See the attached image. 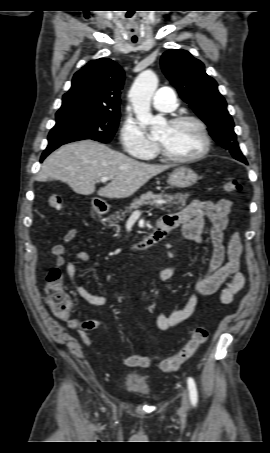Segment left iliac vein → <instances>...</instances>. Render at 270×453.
I'll return each mask as SVG.
<instances>
[{"label":"left iliac vein","instance_id":"left-iliac-vein-1","mask_svg":"<svg viewBox=\"0 0 270 453\" xmlns=\"http://www.w3.org/2000/svg\"><path fill=\"white\" fill-rule=\"evenodd\" d=\"M187 409H188V397H187V393L184 392L183 398H182L181 411L185 412V411H187Z\"/></svg>","mask_w":270,"mask_h":453}]
</instances>
